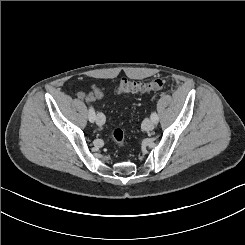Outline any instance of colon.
Listing matches in <instances>:
<instances>
[{"instance_id":"5ec220e1","label":"colon","mask_w":245,"mask_h":245,"mask_svg":"<svg viewBox=\"0 0 245 245\" xmlns=\"http://www.w3.org/2000/svg\"><path fill=\"white\" fill-rule=\"evenodd\" d=\"M166 81L164 79H154L149 82H141L123 78L115 87V92L118 95H127L138 92H148L152 90H158L164 87ZM111 139L119 146L123 145L124 134L121 129H115L110 134Z\"/></svg>"}]
</instances>
